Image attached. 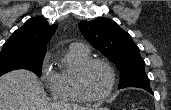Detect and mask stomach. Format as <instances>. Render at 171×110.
Instances as JSON below:
<instances>
[{
  "instance_id": "stomach-1",
  "label": "stomach",
  "mask_w": 171,
  "mask_h": 110,
  "mask_svg": "<svg viewBox=\"0 0 171 110\" xmlns=\"http://www.w3.org/2000/svg\"><path fill=\"white\" fill-rule=\"evenodd\" d=\"M90 110H108L107 108H93V109H90Z\"/></svg>"
}]
</instances>
